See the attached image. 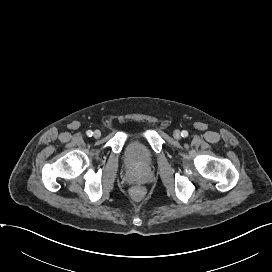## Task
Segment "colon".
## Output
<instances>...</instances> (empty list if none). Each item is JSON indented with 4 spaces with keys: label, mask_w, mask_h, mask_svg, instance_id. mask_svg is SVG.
Returning a JSON list of instances; mask_svg holds the SVG:
<instances>
[{
    "label": "colon",
    "mask_w": 272,
    "mask_h": 272,
    "mask_svg": "<svg viewBox=\"0 0 272 272\" xmlns=\"http://www.w3.org/2000/svg\"><path fill=\"white\" fill-rule=\"evenodd\" d=\"M131 195L134 199H140L143 196V189L139 186L133 187Z\"/></svg>",
    "instance_id": "1"
}]
</instances>
